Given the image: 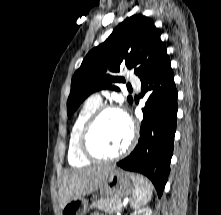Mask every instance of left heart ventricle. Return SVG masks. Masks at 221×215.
<instances>
[{
  "label": "left heart ventricle",
  "instance_id": "b2bd125f",
  "mask_svg": "<svg viewBox=\"0 0 221 215\" xmlns=\"http://www.w3.org/2000/svg\"><path fill=\"white\" fill-rule=\"evenodd\" d=\"M129 137L130 130L125 119L119 113L107 112L94 126L90 145L96 153L110 156L123 150Z\"/></svg>",
  "mask_w": 221,
  "mask_h": 215
}]
</instances>
